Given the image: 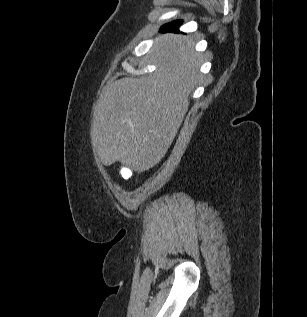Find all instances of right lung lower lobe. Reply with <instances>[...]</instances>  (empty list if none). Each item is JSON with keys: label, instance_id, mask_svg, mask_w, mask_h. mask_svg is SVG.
<instances>
[{"label": "right lung lower lobe", "instance_id": "98d812e1", "mask_svg": "<svg viewBox=\"0 0 307 317\" xmlns=\"http://www.w3.org/2000/svg\"><path fill=\"white\" fill-rule=\"evenodd\" d=\"M182 24V21L181 20H176V21H173L171 23H168V24H165L162 28H161V31L162 32H167V31H170V32H178V27Z\"/></svg>", "mask_w": 307, "mask_h": 317}]
</instances>
